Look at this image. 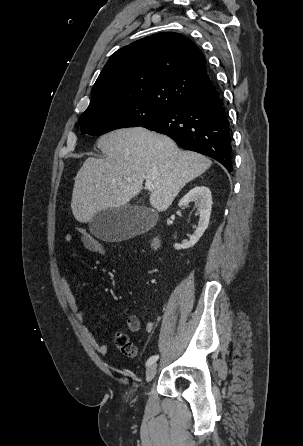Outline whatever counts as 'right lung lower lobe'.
Instances as JSON below:
<instances>
[{
    "label": "right lung lower lobe",
    "instance_id": "98d812e1",
    "mask_svg": "<svg viewBox=\"0 0 303 446\" xmlns=\"http://www.w3.org/2000/svg\"><path fill=\"white\" fill-rule=\"evenodd\" d=\"M141 127L166 134L181 147L212 157L229 173L233 171L229 122L215 87L189 97Z\"/></svg>",
    "mask_w": 303,
    "mask_h": 446
}]
</instances>
